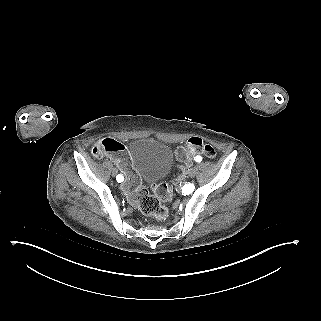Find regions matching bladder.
<instances>
[{
	"mask_svg": "<svg viewBox=\"0 0 321 321\" xmlns=\"http://www.w3.org/2000/svg\"><path fill=\"white\" fill-rule=\"evenodd\" d=\"M129 155L136 172L150 184L160 182L168 174L173 160L170 147L154 138L133 140Z\"/></svg>",
	"mask_w": 321,
	"mask_h": 321,
	"instance_id": "31cf9c89",
	"label": "bladder"
}]
</instances>
